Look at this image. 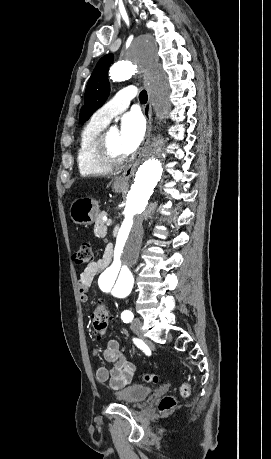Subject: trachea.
<instances>
[{"label": "trachea", "instance_id": "1", "mask_svg": "<svg viewBox=\"0 0 271 459\" xmlns=\"http://www.w3.org/2000/svg\"><path fill=\"white\" fill-rule=\"evenodd\" d=\"M147 99H148V97H147V92H146L145 90H142V91L140 92V94H139V100H140V102L146 104Z\"/></svg>", "mask_w": 271, "mask_h": 459}]
</instances>
